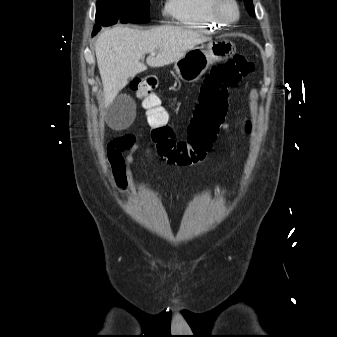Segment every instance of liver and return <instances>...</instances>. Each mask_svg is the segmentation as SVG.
<instances>
[{
	"mask_svg": "<svg viewBox=\"0 0 337 337\" xmlns=\"http://www.w3.org/2000/svg\"><path fill=\"white\" fill-rule=\"evenodd\" d=\"M208 40L199 33L175 26L150 30L123 26L105 29L95 45L105 104L113 102L129 78L147 70L140 62L145 54H151L146 59L148 66L162 67L178 61L188 50Z\"/></svg>",
	"mask_w": 337,
	"mask_h": 337,
	"instance_id": "6515ba94",
	"label": "liver"
}]
</instances>
